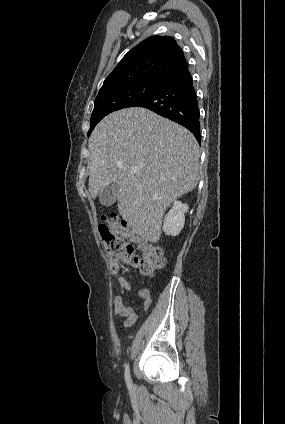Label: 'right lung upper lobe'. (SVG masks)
<instances>
[{
	"mask_svg": "<svg viewBox=\"0 0 285 424\" xmlns=\"http://www.w3.org/2000/svg\"><path fill=\"white\" fill-rule=\"evenodd\" d=\"M187 69L184 54L173 37L152 36L123 57L99 91L140 81L164 83Z\"/></svg>",
	"mask_w": 285,
	"mask_h": 424,
	"instance_id": "1",
	"label": "right lung upper lobe"
}]
</instances>
